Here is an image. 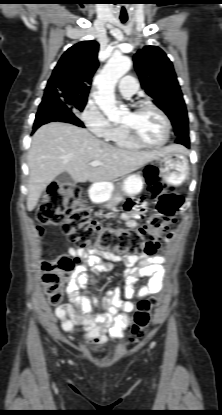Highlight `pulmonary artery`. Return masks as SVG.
Returning <instances> with one entry per match:
<instances>
[{
	"label": "pulmonary artery",
	"mask_w": 222,
	"mask_h": 415,
	"mask_svg": "<svg viewBox=\"0 0 222 415\" xmlns=\"http://www.w3.org/2000/svg\"><path fill=\"white\" fill-rule=\"evenodd\" d=\"M118 88L123 95L130 97L136 93L138 85L132 76H124L119 81Z\"/></svg>",
	"instance_id": "1"
}]
</instances>
